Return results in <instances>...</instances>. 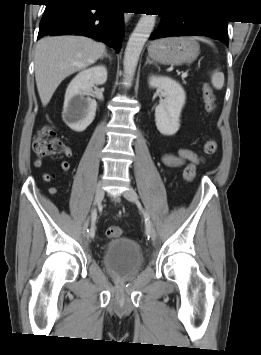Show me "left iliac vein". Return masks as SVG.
I'll return each mask as SVG.
<instances>
[{
	"mask_svg": "<svg viewBox=\"0 0 261 355\" xmlns=\"http://www.w3.org/2000/svg\"><path fill=\"white\" fill-rule=\"evenodd\" d=\"M123 197L130 202L137 203V194L132 188H129L128 190L124 191ZM151 235H152V240H155L156 231L154 230V228L152 226H151Z\"/></svg>",
	"mask_w": 261,
	"mask_h": 355,
	"instance_id": "1",
	"label": "left iliac vein"
}]
</instances>
